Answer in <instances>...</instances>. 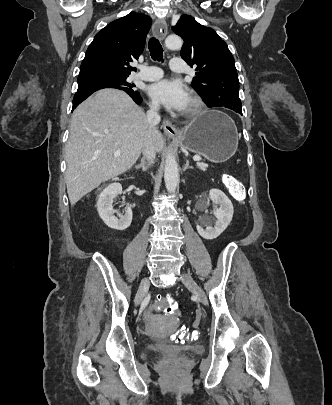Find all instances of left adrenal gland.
I'll return each instance as SVG.
<instances>
[{
  "instance_id": "a2214340",
  "label": "left adrenal gland",
  "mask_w": 332,
  "mask_h": 405,
  "mask_svg": "<svg viewBox=\"0 0 332 405\" xmlns=\"http://www.w3.org/2000/svg\"><path fill=\"white\" fill-rule=\"evenodd\" d=\"M190 168H192V167L189 166V160H186V164L183 168V171L185 172L187 169H190Z\"/></svg>"
}]
</instances>
